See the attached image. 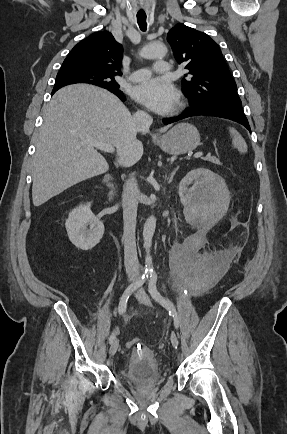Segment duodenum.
Here are the masks:
<instances>
[{
    "mask_svg": "<svg viewBox=\"0 0 287 434\" xmlns=\"http://www.w3.org/2000/svg\"><path fill=\"white\" fill-rule=\"evenodd\" d=\"M105 185L107 187L108 193L106 196V203L109 204L115 195V184L113 178H108L105 180Z\"/></svg>",
    "mask_w": 287,
    "mask_h": 434,
    "instance_id": "obj_1",
    "label": "duodenum"
}]
</instances>
